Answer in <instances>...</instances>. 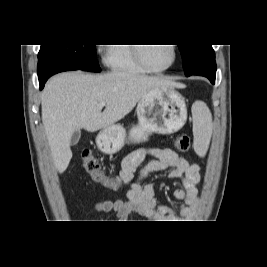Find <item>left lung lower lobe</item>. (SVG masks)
Here are the masks:
<instances>
[{
  "instance_id": "1",
  "label": "left lung lower lobe",
  "mask_w": 267,
  "mask_h": 267,
  "mask_svg": "<svg viewBox=\"0 0 267 267\" xmlns=\"http://www.w3.org/2000/svg\"><path fill=\"white\" fill-rule=\"evenodd\" d=\"M190 75L205 76L211 81L212 84H214L215 83V76H216L215 60L214 61H208V62L200 65Z\"/></svg>"
}]
</instances>
